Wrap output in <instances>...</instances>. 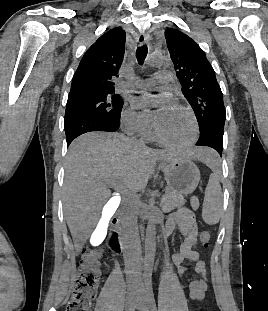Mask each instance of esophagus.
I'll use <instances>...</instances> for the list:
<instances>
[{
	"label": "esophagus",
	"instance_id": "obj_1",
	"mask_svg": "<svg viewBox=\"0 0 268 311\" xmlns=\"http://www.w3.org/2000/svg\"><path fill=\"white\" fill-rule=\"evenodd\" d=\"M137 43L139 46H142L144 43H146L149 40L148 35L144 31H140L137 35Z\"/></svg>",
	"mask_w": 268,
	"mask_h": 311
}]
</instances>
